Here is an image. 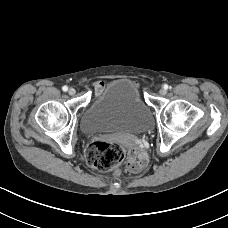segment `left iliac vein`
I'll return each instance as SVG.
<instances>
[{
	"label": "left iliac vein",
	"mask_w": 228,
	"mask_h": 228,
	"mask_svg": "<svg viewBox=\"0 0 228 228\" xmlns=\"http://www.w3.org/2000/svg\"><path fill=\"white\" fill-rule=\"evenodd\" d=\"M159 94L162 95V96H164V95L167 94V90L164 89V88H162V89H160Z\"/></svg>",
	"instance_id": "left-iliac-vein-1"
}]
</instances>
